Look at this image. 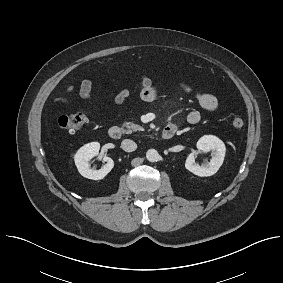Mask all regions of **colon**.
Returning a JSON list of instances; mask_svg holds the SVG:
<instances>
[{"label": "colon", "mask_w": 283, "mask_h": 283, "mask_svg": "<svg viewBox=\"0 0 283 283\" xmlns=\"http://www.w3.org/2000/svg\"><path fill=\"white\" fill-rule=\"evenodd\" d=\"M88 121L87 112H73L66 113L59 117L58 127L69 133H73L80 128H82ZM232 125L236 129H240L244 126V120L242 118L236 117L232 120Z\"/></svg>", "instance_id": "5ec220e1"}]
</instances>
